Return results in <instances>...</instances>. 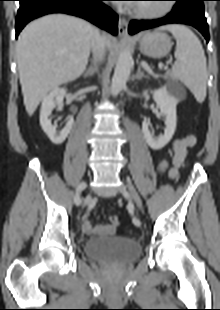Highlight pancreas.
<instances>
[{"mask_svg":"<svg viewBox=\"0 0 220 310\" xmlns=\"http://www.w3.org/2000/svg\"><path fill=\"white\" fill-rule=\"evenodd\" d=\"M164 79H173L174 78V75L172 74V72H167L164 76H163Z\"/></svg>","mask_w":220,"mask_h":310,"instance_id":"pancreas-1","label":"pancreas"}]
</instances>
